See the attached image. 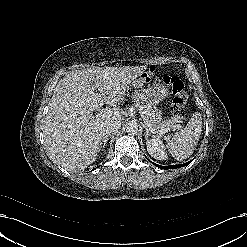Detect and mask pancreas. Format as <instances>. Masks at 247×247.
Here are the masks:
<instances>
[{"label":"pancreas","instance_id":"pancreas-1","mask_svg":"<svg viewBox=\"0 0 247 247\" xmlns=\"http://www.w3.org/2000/svg\"><path fill=\"white\" fill-rule=\"evenodd\" d=\"M135 109L142 112L147 118V125L160 132L161 129L171 128L181 121V118L173 117L168 120H162L161 112L151 103L145 102L139 98H135Z\"/></svg>","mask_w":247,"mask_h":247}]
</instances>
